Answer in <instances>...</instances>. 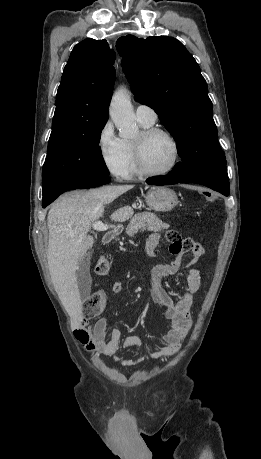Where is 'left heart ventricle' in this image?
Segmentation results:
<instances>
[{
    "label": "left heart ventricle",
    "instance_id": "left-heart-ventricle-1",
    "mask_svg": "<svg viewBox=\"0 0 261 459\" xmlns=\"http://www.w3.org/2000/svg\"><path fill=\"white\" fill-rule=\"evenodd\" d=\"M140 140V135L135 139ZM173 158L171 141L162 134H156L143 143V159L150 170L159 171L167 168Z\"/></svg>",
    "mask_w": 261,
    "mask_h": 459
}]
</instances>
